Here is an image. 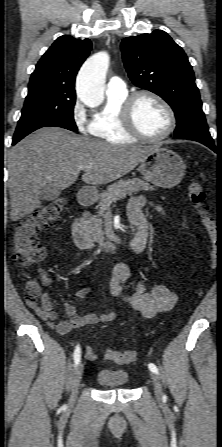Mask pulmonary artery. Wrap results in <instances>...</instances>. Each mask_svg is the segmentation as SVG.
I'll return each mask as SVG.
<instances>
[{"label": "pulmonary artery", "mask_w": 222, "mask_h": 447, "mask_svg": "<svg viewBox=\"0 0 222 447\" xmlns=\"http://www.w3.org/2000/svg\"><path fill=\"white\" fill-rule=\"evenodd\" d=\"M106 91L110 94H121L126 91V84L120 77L113 76L106 85Z\"/></svg>", "instance_id": "pulmonary-artery-1"}]
</instances>
